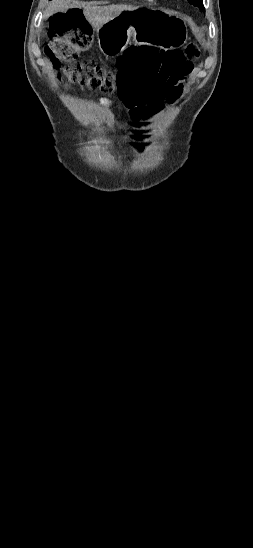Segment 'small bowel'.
Returning a JSON list of instances; mask_svg holds the SVG:
<instances>
[{
	"label": "small bowel",
	"mask_w": 253,
	"mask_h": 548,
	"mask_svg": "<svg viewBox=\"0 0 253 548\" xmlns=\"http://www.w3.org/2000/svg\"><path fill=\"white\" fill-rule=\"evenodd\" d=\"M153 60H161V59L155 58V59H153ZM99 100H100L101 104H102L104 107H106V108H114V103H113L111 100H109L108 98L100 97ZM123 101H124V99H123ZM126 106H127L128 108L131 107V105H126ZM163 109H164V108H163ZM135 135H136V134H135ZM134 142H135V143H136V142H141V143H143L144 141H143V140H134ZM110 143H111V141H110V139H108V144H110ZM135 152H136V153H139V152H138V149L135 148Z\"/></svg>",
	"instance_id": "obj_1"
}]
</instances>
